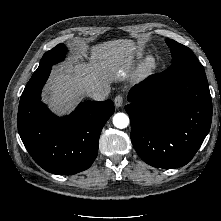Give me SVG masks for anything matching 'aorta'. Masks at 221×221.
Segmentation results:
<instances>
[{
    "label": "aorta",
    "instance_id": "762f6f07",
    "mask_svg": "<svg viewBox=\"0 0 221 221\" xmlns=\"http://www.w3.org/2000/svg\"><path fill=\"white\" fill-rule=\"evenodd\" d=\"M112 121L114 126L119 129H124L129 125V117L124 113H116Z\"/></svg>",
    "mask_w": 221,
    "mask_h": 221
}]
</instances>
